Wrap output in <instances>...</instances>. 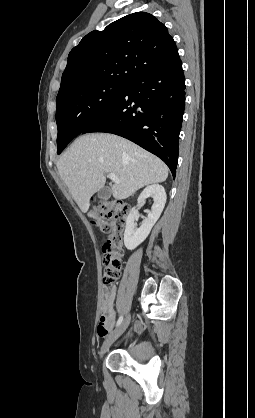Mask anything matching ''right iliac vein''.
Masks as SVG:
<instances>
[{
  "mask_svg": "<svg viewBox=\"0 0 255 418\" xmlns=\"http://www.w3.org/2000/svg\"><path fill=\"white\" fill-rule=\"evenodd\" d=\"M130 323V315H128L124 321L119 325V327L112 332L108 338L104 341L101 350H100V357H102L109 349V347L113 344L115 340H117L123 332L127 329Z\"/></svg>",
  "mask_w": 255,
  "mask_h": 418,
  "instance_id": "obj_1",
  "label": "right iliac vein"
}]
</instances>
